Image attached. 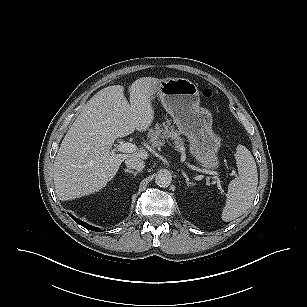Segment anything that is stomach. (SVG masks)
I'll list each match as a JSON object with an SVG mask.
<instances>
[{
    "label": "stomach",
    "mask_w": 307,
    "mask_h": 307,
    "mask_svg": "<svg viewBox=\"0 0 307 307\" xmlns=\"http://www.w3.org/2000/svg\"><path fill=\"white\" fill-rule=\"evenodd\" d=\"M154 94L159 96L179 133L188 138L196 160L205 167L216 168L221 139L212 130L211 112L200 106L197 85L185 78H166L160 80Z\"/></svg>",
    "instance_id": "obj_1"
}]
</instances>
